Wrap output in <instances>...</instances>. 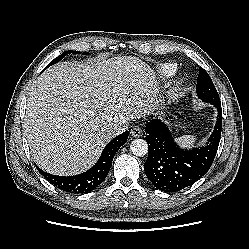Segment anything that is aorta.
I'll list each match as a JSON object with an SVG mask.
<instances>
[{
	"label": "aorta",
	"instance_id": "aorta-1",
	"mask_svg": "<svg viewBox=\"0 0 249 249\" xmlns=\"http://www.w3.org/2000/svg\"><path fill=\"white\" fill-rule=\"evenodd\" d=\"M130 151L138 157L148 153V144L144 139H134L130 144Z\"/></svg>",
	"mask_w": 249,
	"mask_h": 249
}]
</instances>
